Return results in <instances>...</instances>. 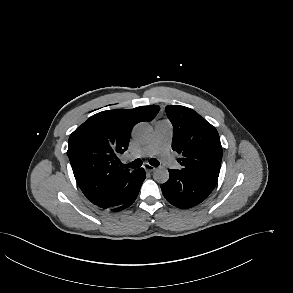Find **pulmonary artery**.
Here are the masks:
<instances>
[{"label": "pulmonary artery", "instance_id": "pulmonary-artery-1", "mask_svg": "<svg viewBox=\"0 0 293 293\" xmlns=\"http://www.w3.org/2000/svg\"><path fill=\"white\" fill-rule=\"evenodd\" d=\"M173 127L169 121H161L156 124L153 139L143 148L133 153L130 158H146L157 155L160 160L172 168L179 166L170 153Z\"/></svg>", "mask_w": 293, "mask_h": 293}]
</instances>
